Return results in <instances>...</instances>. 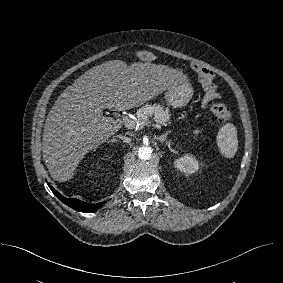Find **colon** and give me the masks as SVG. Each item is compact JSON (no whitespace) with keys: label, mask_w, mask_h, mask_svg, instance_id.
Listing matches in <instances>:
<instances>
[{"label":"colon","mask_w":283,"mask_h":283,"mask_svg":"<svg viewBox=\"0 0 283 283\" xmlns=\"http://www.w3.org/2000/svg\"><path fill=\"white\" fill-rule=\"evenodd\" d=\"M137 57L143 61H152L154 59V55L145 50L138 51ZM210 110L221 124H225L231 119V112L224 104L213 103L210 105Z\"/></svg>","instance_id":"colon-1"}]
</instances>
